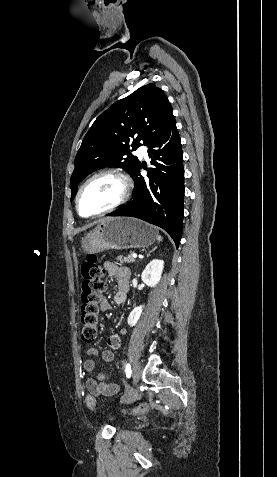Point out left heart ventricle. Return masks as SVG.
I'll return each instance as SVG.
<instances>
[{"label": "left heart ventricle", "mask_w": 277, "mask_h": 477, "mask_svg": "<svg viewBox=\"0 0 277 477\" xmlns=\"http://www.w3.org/2000/svg\"><path fill=\"white\" fill-rule=\"evenodd\" d=\"M122 185L120 181L111 176H102L87 185L80 199V209L84 214L100 212L120 197Z\"/></svg>", "instance_id": "b2bd125f"}]
</instances>
